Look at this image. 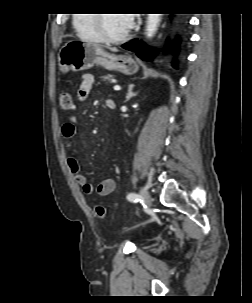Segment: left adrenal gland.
I'll list each match as a JSON object with an SVG mask.
<instances>
[{"instance_id": "1", "label": "left adrenal gland", "mask_w": 252, "mask_h": 303, "mask_svg": "<svg viewBox=\"0 0 252 303\" xmlns=\"http://www.w3.org/2000/svg\"><path fill=\"white\" fill-rule=\"evenodd\" d=\"M133 88H134L133 84L129 85V87H128V93L126 95L125 102L129 101L133 96L136 95V93L133 92Z\"/></svg>"}]
</instances>
